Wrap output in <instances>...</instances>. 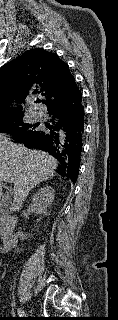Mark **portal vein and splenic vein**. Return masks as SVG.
Listing matches in <instances>:
<instances>
[{
	"instance_id": "1",
	"label": "portal vein and splenic vein",
	"mask_w": 118,
	"mask_h": 320,
	"mask_svg": "<svg viewBox=\"0 0 118 320\" xmlns=\"http://www.w3.org/2000/svg\"><path fill=\"white\" fill-rule=\"evenodd\" d=\"M1 181H4V182H6V183H13V181H12V180H9V179H6V178L1 179Z\"/></svg>"
}]
</instances>
